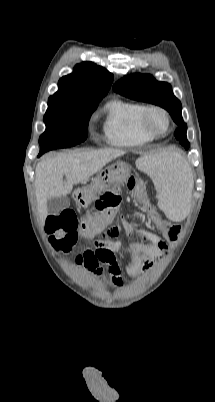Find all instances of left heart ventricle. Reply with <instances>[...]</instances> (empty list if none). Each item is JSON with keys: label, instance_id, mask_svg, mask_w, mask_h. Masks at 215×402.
I'll return each mask as SVG.
<instances>
[{"label": "left heart ventricle", "instance_id": "obj_1", "mask_svg": "<svg viewBox=\"0 0 215 402\" xmlns=\"http://www.w3.org/2000/svg\"><path fill=\"white\" fill-rule=\"evenodd\" d=\"M149 124L155 131H163L166 128V121L160 113H152L149 116Z\"/></svg>", "mask_w": 215, "mask_h": 402}]
</instances>
